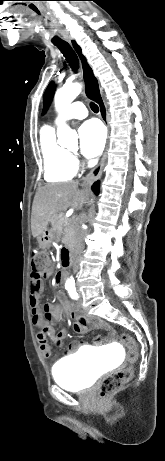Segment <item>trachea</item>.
Wrapping results in <instances>:
<instances>
[{"instance_id": "obj_1", "label": "trachea", "mask_w": 165, "mask_h": 461, "mask_svg": "<svg viewBox=\"0 0 165 461\" xmlns=\"http://www.w3.org/2000/svg\"><path fill=\"white\" fill-rule=\"evenodd\" d=\"M55 45L59 48V50L61 51V53L63 54V56L69 63L70 67L73 69V71H76L78 69L79 60L75 51L72 49L69 43L63 42ZM85 78L88 81L87 95L93 100H95L97 103H102V98L99 92L97 80L93 74L91 67L88 64L86 67ZM90 107L92 111L95 113L99 111V108L95 103H91Z\"/></svg>"}]
</instances>
